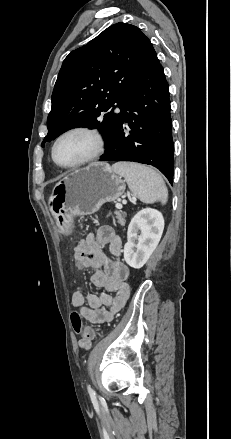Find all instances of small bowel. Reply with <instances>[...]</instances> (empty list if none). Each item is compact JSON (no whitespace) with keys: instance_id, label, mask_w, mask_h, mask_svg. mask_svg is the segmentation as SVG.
I'll return each mask as SVG.
<instances>
[{"instance_id":"1","label":"small bowel","mask_w":231,"mask_h":439,"mask_svg":"<svg viewBox=\"0 0 231 439\" xmlns=\"http://www.w3.org/2000/svg\"><path fill=\"white\" fill-rule=\"evenodd\" d=\"M105 248L112 257L106 254ZM122 254V240L110 226L100 227L95 235L87 236L75 248V259L81 256L85 268L95 269L90 281L96 288L102 289L99 293L85 294V286L79 283L72 294V305L91 323L112 321L130 296L127 283L129 268L122 261ZM79 346L89 349L91 341L82 338Z\"/></svg>"}]
</instances>
